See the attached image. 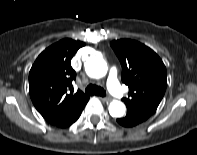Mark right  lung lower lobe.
Listing matches in <instances>:
<instances>
[{
  "instance_id": "98d812e1",
  "label": "right lung lower lobe",
  "mask_w": 197,
  "mask_h": 155,
  "mask_svg": "<svg viewBox=\"0 0 197 155\" xmlns=\"http://www.w3.org/2000/svg\"><path fill=\"white\" fill-rule=\"evenodd\" d=\"M82 110H83V109H82ZM82 110H81L80 113L73 119L72 123H74V122L79 118V116H80ZM72 123H71V124H72ZM71 124H70V125H71Z\"/></svg>"
}]
</instances>
